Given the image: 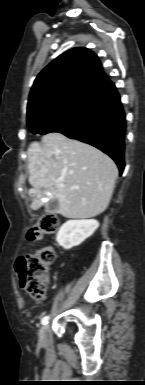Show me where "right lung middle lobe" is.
I'll return each instance as SVG.
<instances>
[{
	"mask_svg": "<svg viewBox=\"0 0 145 385\" xmlns=\"http://www.w3.org/2000/svg\"><path fill=\"white\" fill-rule=\"evenodd\" d=\"M99 93L74 89L37 105L27 113V125L35 134L55 132L85 109Z\"/></svg>",
	"mask_w": 145,
	"mask_h": 385,
	"instance_id": "right-lung-middle-lobe-1",
	"label": "right lung middle lobe"
}]
</instances>
